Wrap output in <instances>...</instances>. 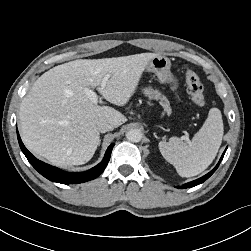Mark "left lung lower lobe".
I'll list each match as a JSON object with an SVG mask.
<instances>
[{
  "label": "left lung lower lobe",
  "instance_id": "1",
  "mask_svg": "<svg viewBox=\"0 0 251 251\" xmlns=\"http://www.w3.org/2000/svg\"><path fill=\"white\" fill-rule=\"evenodd\" d=\"M224 154H225V152L223 153V155L220 158L218 164L215 166V168L212 171H210L209 173H207L206 175H204L203 177H201V178H199L197 180L186 183V184H184L183 186H180V187L178 186L177 188H191V187L197 186V185L203 183L204 181H206L215 172V170L218 168L221 160L223 159Z\"/></svg>",
  "mask_w": 251,
  "mask_h": 251
}]
</instances>
